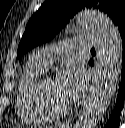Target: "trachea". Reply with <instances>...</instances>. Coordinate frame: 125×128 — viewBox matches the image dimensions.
Wrapping results in <instances>:
<instances>
[{
	"mask_svg": "<svg viewBox=\"0 0 125 128\" xmlns=\"http://www.w3.org/2000/svg\"><path fill=\"white\" fill-rule=\"evenodd\" d=\"M91 51H95V49H94V48H92V49H91Z\"/></svg>",
	"mask_w": 125,
	"mask_h": 128,
	"instance_id": "obj_1",
	"label": "trachea"
}]
</instances>
